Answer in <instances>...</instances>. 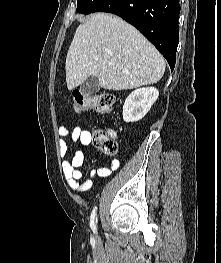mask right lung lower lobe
I'll use <instances>...</instances> for the list:
<instances>
[{
  "label": "right lung lower lobe",
  "instance_id": "right-lung-lower-lobe-1",
  "mask_svg": "<svg viewBox=\"0 0 221 263\" xmlns=\"http://www.w3.org/2000/svg\"><path fill=\"white\" fill-rule=\"evenodd\" d=\"M94 12L116 14L135 26L174 69L179 43V0H105Z\"/></svg>",
  "mask_w": 221,
  "mask_h": 263
}]
</instances>
